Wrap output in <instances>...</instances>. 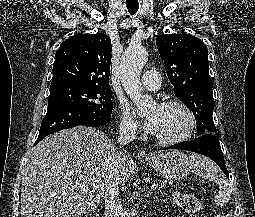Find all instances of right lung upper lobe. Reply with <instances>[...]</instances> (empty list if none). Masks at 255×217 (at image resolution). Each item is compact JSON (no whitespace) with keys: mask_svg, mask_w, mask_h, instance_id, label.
Wrapping results in <instances>:
<instances>
[{"mask_svg":"<svg viewBox=\"0 0 255 217\" xmlns=\"http://www.w3.org/2000/svg\"><path fill=\"white\" fill-rule=\"evenodd\" d=\"M112 45L106 34H76L55 54L51 86L82 84L110 88Z\"/></svg>","mask_w":255,"mask_h":217,"instance_id":"right-lung-upper-lobe-1","label":"right lung upper lobe"}]
</instances>
